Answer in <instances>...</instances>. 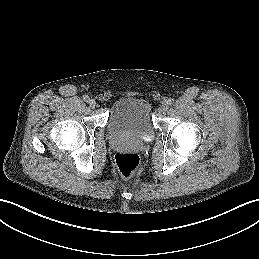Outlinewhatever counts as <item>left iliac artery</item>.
Listing matches in <instances>:
<instances>
[{"label":"left iliac artery","instance_id":"1","mask_svg":"<svg viewBox=\"0 0 259 259\" xmlns=\"http://www.w3.org/2000/svg\"><path fill=\"white\" fill-rule=\"evenodd\" d=\"M173 103H174V99L170 98V99L168 100V104L172 105Z\"/></svg>","mask_w":259,"mask_h":259}]
</instances>
